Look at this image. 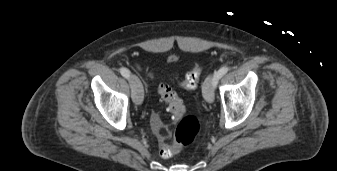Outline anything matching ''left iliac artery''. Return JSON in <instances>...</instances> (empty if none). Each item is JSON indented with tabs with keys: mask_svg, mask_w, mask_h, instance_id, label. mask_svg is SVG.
I'll return each mask as SVG.
<instances>
[{
	"mask_svg": "<svg viewBox=\"0 0 337 171\" xmlns=\"http://www.w3.org/2000/svg\"><path fill=\"white\" fill-rule=\"evenodd\" d=\"M228 70L229 68L227 66H224L220 68L217 72H215L214 78L216 79V84H217V81L228 72Z\"/></svg>",
	"mask_w": 337,
	"mask_h": 171,
	"instance_id": "1",
	"label": "left iliac artery"
}]
</instances>
